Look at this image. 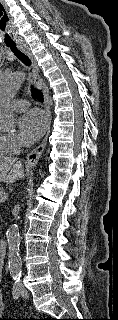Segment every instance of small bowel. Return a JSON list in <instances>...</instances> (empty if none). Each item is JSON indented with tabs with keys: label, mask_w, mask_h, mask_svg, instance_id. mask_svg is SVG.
<instances>
[{
	"label": "small bowel",
	"mask_w": 118,
	"mask_h": 320,
	"mask_svg": "<svg viewBox=\"0 0 118 320\" xmlns=\"http://www.w3.org/2000/svg\"><path fill=\"white\" fill-rule=\"evenodd\" d=\"M2 266L3 265L0 264V283L2 281ZM3 309H4L3 296L0 290V316L2 315Z\"/></svg>",
	"instance_id": "1"
}]
</instances>
